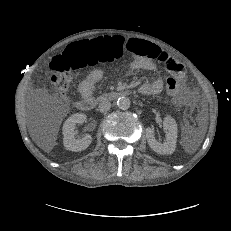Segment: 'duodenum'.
Here are the masks:
<instances>
[{"mask_svg": "<svg viewBox=\"0 0 231 231\" xmlns=\"http://www.w3.org/2000/svg\"><path fill=\"white\" fill-rule=\"evenodd\" d=\"M128 91H113L104 93L98 97H83L78 101V107L79 109L83 111H91L94 109L96 104L100 101L109 100V101H115L118 98L124 96Z\"/></svg>", "mask_w": 231, "mask_h": 231, "instance_id": "obj_1", "label": "duodenum"}]
</instances>
